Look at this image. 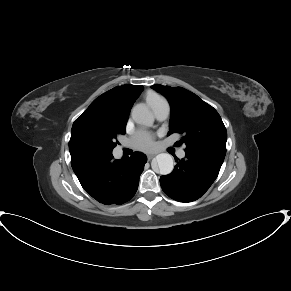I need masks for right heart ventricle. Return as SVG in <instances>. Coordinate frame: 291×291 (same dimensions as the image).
<instances>
[{
	"instance_id": "e07e8e85",
	"label": "right heart ventricle",
	"mask_w": 291,
	"mask_h": 291,
	"mask_svg": "<svg viewBox=\"0 0 291 291\" xmlns=\"http://www.w3.org/2000/svg\"><path fill=\"white\" fill-rule=\"evenodd\" d=\"M146 102L148 104V106L153 109L154 106L161 100L163 99L160 95H158L157 93L154 92H148L146 94Z\"/></svg>"
}]
</instances>
